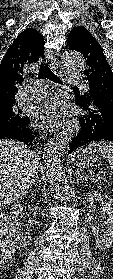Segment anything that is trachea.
Masks as SVG:
<instances>
[{"instance_id":"obj_1","label":"trachea","mask_w":113,"mask_h":279,"mask_svg":"<svg viewBox=\"0 0 113 279\" xmlns=\"http://www.w3.org/2000/svg\"><path fill=\"white\" fill-rule=\"evenodd\" d=\"M38 78L39 79L47 78V79L51 80L52 82L62 84L61 79L50 70L47 63L42 62L40 64Z\"/></svg>"}]
</instances>
